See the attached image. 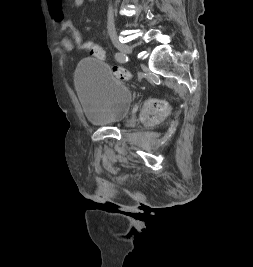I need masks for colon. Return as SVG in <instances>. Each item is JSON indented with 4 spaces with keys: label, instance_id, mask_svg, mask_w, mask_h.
I'll list each match as a JSON object with an SVG mask.
<instances>
[{
    "label": "colon",
    "instance_id": "5ec220e1",
    "mask_svg": "<svg viewBox=\"0 0 253 267\" xmlns=\"http://www.w3.org/2000/svg\"><path fill=\"white\" fill-rule=\"evenodd\" d=\"M71 40L74 45V49L79 51H88L93 57L100 60L105 58L104 49L93 42L85 41L79 32L74 33L71 36ZM114 73L122 80H129L131 78V74L122 67H114ZM165 108V104L161 101L150 102L148 105V121L150 123L154 122Z\"/></svg>",
    "mask_w": 253,
    "mask_h": 267
}]
</instances>
